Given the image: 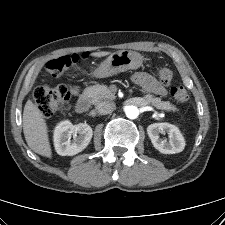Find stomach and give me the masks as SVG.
Instances as JSON below:
<instances>
[{"label": "stomach", "mask_w": 225, "mask_h": 225, "mask_svg": "<svg viewBox=\"0 0 225 225\" xmlns=\"http://www.w3.org/2000/svg\"><path fill=\"white\" fill-rule=\"evenodd\" d=\"M143 56L135 51L120 50L108 56L93 72L99 78L110 77L130 69H138Z\"/></svg>", "instance_id": "obj_1"}]
</instances>
